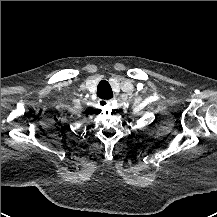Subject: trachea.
<instances>
[{
	"label": "trachea",
	"instance_id": "3493384b",
	"mask_svg": "<svg viewBox=\"0 0 217 217\" xmlns=\"http://www.w3.org/2000/svg\"><path fill=\"white\" fill-rule=\"evenodd\" d=\"M97 96L101 99H111L113 97L112 88L106 80L99 82L97 87Z\"/></svg>",
	"mask_w": 217,
	"mask_h": 217
}]
</instances>
